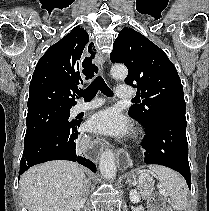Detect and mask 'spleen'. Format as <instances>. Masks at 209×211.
Segmentation results:
<instances>
[{"label": "spleen", "mask_w": 209, "mask_h": 211, "mask_svg": "<svg viewBox=\"0 0 209 211\" xmlns=\"http://www.w3.org/2000/svg\"><path fill=\"white\" fill-rule=\"evenodd\" d=\"M159 178L161 187L170 196V204L176 211H183L187 206L188 188L184 178L174 170L164 166L149 167Z\"/></svg>", "instance_id": "3e777b00"}]
</instances>
